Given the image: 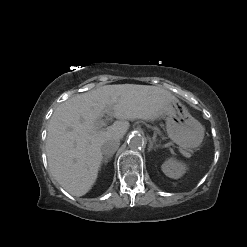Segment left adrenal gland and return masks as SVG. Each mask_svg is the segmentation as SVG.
<instances>
[{
    "mask_svg": "<svg viewBox=\"0 0 247 247\" xmlns=\"http://www.w3.org/2000/svg\"><path fill=\"white\" fill-rule=\"evenodd\" d=\"M149 148H148V151H151V150H155V147H154V144H153V142H152V140H151V138H149Z\"/></svg>",
    "mask_w": 247,
    "mask_h": 247,
    "instance_id": "left-adrenal-gland-1",
    "label": "left adrenal gland"
}]
</instances>
